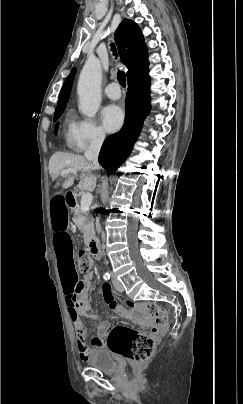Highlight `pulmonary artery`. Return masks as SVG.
<instances>
[{
  "mask_svg": "<svg viewBox=\"0 0 243 404\" xmlns=\"http://www.w3.org/2000/svg\"><path fill=\"white\" fill-rule=\"evenodd\" d=\"M105 94L113 100H117L121 97V88L118 83L113 82L107 85L105 88Z\"/></svg>",
  "mask_w": 243,
  "mask_h": 404,
  "instance_id": "obj_1",
  "label": "pulmonary artery"
}]
</instances>
